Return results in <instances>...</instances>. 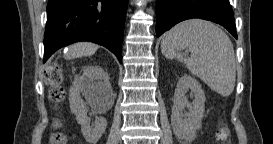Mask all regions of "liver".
<instances>
[{"mask_svg": "<svg viewBox=\"0 0 273 144\" xmlns=\"http://www.w3.org/2000/svg\"><path fill=\"white\" fill-rule=\"evenodd\" d=\"M99 46L91 42H79L72 44L68 47V52L65 55L66 59H75L83 56H91L97 50Z\"/></svg>", "mask_w": 273, "mask_h": 144, "instance_id": "liver-1", "label": "liver"}]
</instances>
